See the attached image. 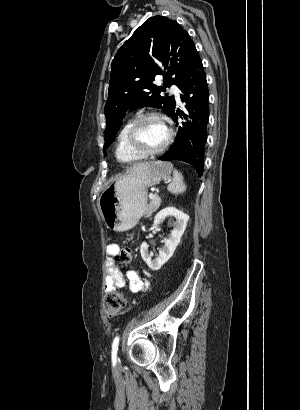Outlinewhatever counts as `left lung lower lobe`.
Masks as SVG:
<instances>
[{
    "label": "left lung lower lobe",
    "instance_id": "obj_1",
    "mask_svg": "<svg viewBox=\"0 0 300 410\" xmlns=\"http://www.w3.org/2000/svg\"><path fill=\"white\" fill-rule=\"evenodd\" d=\"M178 87L181 90V101L186 103L187 114L174 109L171 117L177 121V116L183 115L186 121L183 122V127H179L177 137L170 149L159 159L187 162L201 176L204 171V152L209 120V93L206 75L198 54Z\"/></svg>",
    "mask_w": 300,
    "mask_h": 410
}]
</instances>
